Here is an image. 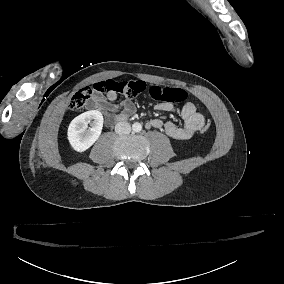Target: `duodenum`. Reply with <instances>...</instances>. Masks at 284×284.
Listing matches in <instances>:
<instances>
[{
	"instance_id": "1",
	"label": "duodenum",
	"mask_w": 284,
	"mask_h": 284,
	"mask_svg": "<svg viewBox=\"0 0 284 284\" xmlns=\"http://www.w3.org/2000/svg\"><path fill=\"white\" fill-rule=\"evenodd\" d=\"M125 117H127V116H120V117H117V118H116V121H123Z\"/></svg>"
}]
</instances>
